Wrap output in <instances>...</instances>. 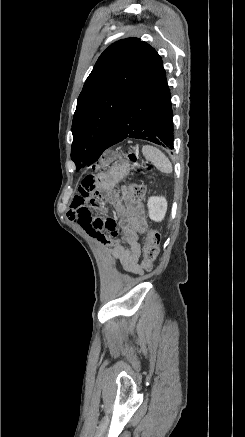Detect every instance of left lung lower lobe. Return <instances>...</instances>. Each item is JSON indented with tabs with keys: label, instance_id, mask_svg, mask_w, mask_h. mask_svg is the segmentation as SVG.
<instances>
[{
	"label": "left lung lower lobe",
	"instance_id": "1",
	"mask_svg": "<svg viewBox=\"0 0 245 437\" xmlns=\"http://www.w3.org/2000/svg\"><path fill=\"white\" fill-rule=\"evenodd\" d=\"M172 115L171 94L158 55L119 114L105 149L126 138L148 140L173 149Z\"/></svg>",
	"mask_w": 245,
	"mask_h": 437
}]
</instances>
